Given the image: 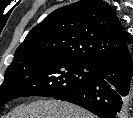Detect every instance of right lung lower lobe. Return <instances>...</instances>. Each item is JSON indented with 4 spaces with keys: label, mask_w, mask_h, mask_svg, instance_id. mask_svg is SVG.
<instances>
[{
    "label": "right lung lower lobe",
    "mask_w": 133,
    "mask_h": 118,
    "mask_svg": "<svg viewBox=\"0 0 133 118\" xmlns=\"http://www.w3.org/2000/svg\"><path fill=\"white\" fill-rule=\"evenodd\" d=\"M132 73V56L127 48L96 67L88 83L54 98L79 105L100 118H123L129 108Z\"/></svg>",
    "instance_id": "right-lung-lower-lobe-1"
}]
</instances>
